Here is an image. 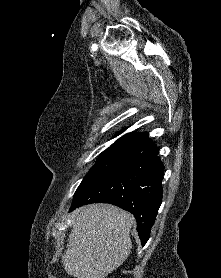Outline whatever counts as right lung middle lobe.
Wrapping results in <instances>:
<instances>
[{
    "instance_id": "dd1d6c3e",
    "label": "right lung middle lobe",
    "mask_w": 221,
    "mask_h": 278,
    "mask_svg": "<svg viewBox=\"0 0 221 278\" xmlns=\"http://www.w3.org/2000/svg\"><path fill=\"white\" fill-rule=\"evenodd\" d=\"M135 152V148L114 143L106 151L101 153L95 165L76 190L73 204L80 201L88 191L105 177L121 166L129 163L135 157Z\"/></svg>"
}]
</instances>
